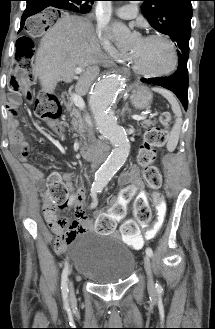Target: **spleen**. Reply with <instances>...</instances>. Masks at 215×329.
Segmentation results:
<instances>
[{
  "label": "spleen",
  "mask_w": 215,
  "mask_h": 329,
  "mask_svg": "<svg viewBox=\"0 0 215 329\" xmlns=\"http://www.w3.org/2000/svg\"><path fill=\"white\" fill-rule=\"evenodd\" d=\"M153 91L160 93L162 96H164L168 102L170 103L172 107V111L176 117L175 123L173 125V128L170 133V140L167 145V149L172 152L175 150L179 135L181 131V125H182V112L179 106V103L176 99V97L168 90L161 89V88H153Z\"/></svg>",
  "instance_id": "1"
}]
</instances>
